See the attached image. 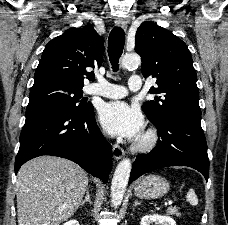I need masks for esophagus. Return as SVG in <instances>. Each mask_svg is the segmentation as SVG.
<instances>
[{
	"instance_id": "obj_1",
	"label": "esophagus",
	"mask_w": 228,
	"mask_h": 225,
	"mask_svg": "<svg viewBox=\"0 0 228 225\" xmlns=\"http://www.w3.org/2000/svg\"><path fill=\"white\" fill-rule=\"evenodd\" d=\"M115 24L116 26L121 27L123 30H127L128 25L125 20L117 19ZM112 151L115 160H120L124 155V150L120 147V145H117V143L113 145Z\"/></svg>"
}]
</instances>
